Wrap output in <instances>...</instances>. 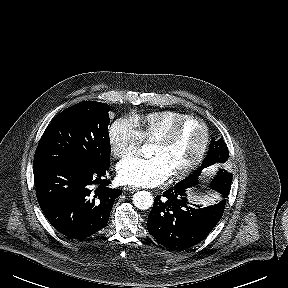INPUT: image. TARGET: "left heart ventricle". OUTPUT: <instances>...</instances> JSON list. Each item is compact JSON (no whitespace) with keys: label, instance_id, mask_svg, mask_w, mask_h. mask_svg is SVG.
Returning a JSON list of instances; mask_svg holds the SVG:
<instances>
[{"label":"left heart ventricle","instance_id":"1","mask_svg":"<svg viewBox=\"0 0 288 288\" xmlns=\"http://www.w3.org/2000/svg\"><path fill=\"white\" fill-rule=\"evenodd\" d=\"M203 139L202 126L196 122H189L170 144L154 143L151 155L160 156L165 161L170 174L178 173L197 157Z\"/></svg>","mask_w":288,"mask_h":288}]
</instances>
